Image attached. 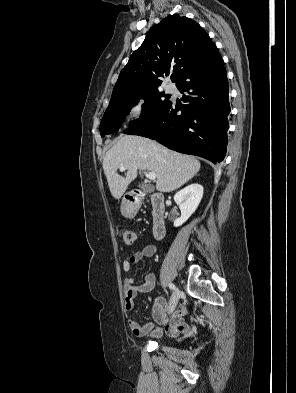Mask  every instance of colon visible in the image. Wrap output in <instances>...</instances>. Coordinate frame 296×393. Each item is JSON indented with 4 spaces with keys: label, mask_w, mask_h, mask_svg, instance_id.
Wrapping results in <instances>:
<instances>
[{
    "label": "colon",
    "mask_w": 296,
    "mask_h": 393,
    "mask_svg": "<svg viewBox=\"0 0 296 393\" xmlns=\"http://www.w3.org/2000/svg\"><path fill=\"white\" fill-rule=\"evenodd\" d=\"M117 234L126 245H132L135 241V234L129 229L118 228Z\"/></svg>",
    "instance_id": "5ec220e1"
}]
</instances>
